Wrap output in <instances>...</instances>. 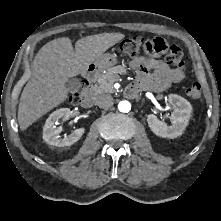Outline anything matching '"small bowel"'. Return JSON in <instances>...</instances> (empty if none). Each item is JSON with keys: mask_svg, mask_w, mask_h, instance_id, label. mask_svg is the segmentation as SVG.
Here are the masks:
<instances>
[{"mask_svg": "<svg viewBox=\"0 0 221 221\" xmlns=\"http://www.w3.org/2000/svg\"><path fill=\"white\" fill-rule=\"evenodd\" d=\"M146 52L149 57L140 56L130 63L137 73L136 82L131 86L136 91L143 89L158 92L184 79L183 71L170 67L166 62L156 58L160 53Z\"/></svg>", "mask_w": 221, "mask_h": 221, "instance_id": "small-bowel-1", "label": "small bowel"}]
</instances>
